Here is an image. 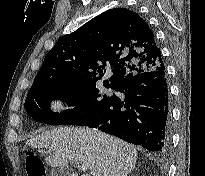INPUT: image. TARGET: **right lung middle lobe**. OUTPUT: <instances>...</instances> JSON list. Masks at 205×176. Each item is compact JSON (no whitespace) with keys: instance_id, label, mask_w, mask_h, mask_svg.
I'll return each mask as SVG.
<instances>
[{"instance_id":"dd1d6c3e","label":"right lung middle lobe","mask_w":205,"mask_h":176,"mask_svg":"<svg viewBox=\"0 0 205 176\" xmlns=\"http://www.w3.org/2000/svg\"><path fill=\"white\" fill-rule=\"evenodd\" d=\"M113 97L114 95L107 96L101 93L95 85L48 86L28 93L25 109L28 115L38 122L49 125L86 126ZM56 98L65 99L72 108L59 114L54 113L49 105L50 101Z\"/></svg>"}]
</instances>
